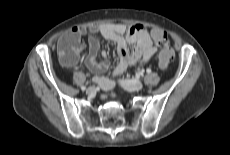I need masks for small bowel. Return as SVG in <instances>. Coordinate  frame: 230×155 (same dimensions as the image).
Segmentation results:
<instances>
[{"mask_svg":"<svg viewBox=\"0 0 230 155\" xmlns=\"http://www.w3.org/2000/svg\"><path fill=\"white\" fill-rule=\"evenodd\" d=\"M141 24L132 25L128 30L122 24L116 25H102V26H91V27H74L70 32L62 36L59 42L63 41L69 36H77L79 39L83 35H88V49L89 55L86 58L87 67L94 73H100L106 71L109 68V61L106 54H103L105 58L103 61L98 62L96 60V54L99 49V40L96 36L100 33L106 40L114 42L117 45V51L120 57V61L114 69V76L121 75L130 65L137 62L146 63L152 56L158 52V48L153 45L152 32ZM155 41V40H154ZM156 42V41H155ZM132 45L133 48L129 51L128 46ZM164 45L170 46V41L167 38ZM82 48V42L80 39L79 46L76 52ZM100 87L104 90H110L114 87V81L106 77L95 78Z\"/></svg>","mask_w":230,"mask_h":155,"instance_id":"obj_1","label":"small bowel"}]
</instances>
